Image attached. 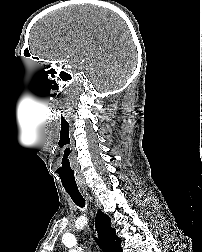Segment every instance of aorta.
I'll use <instances>...</instances> for the list:
<instances>
[{"mask_svg":"<svg viewBox=\"0 0 202 252\" xmlns=\"http://www.w3.org/2000/svg\"><path fill=\"white\" fill-rule=\"evenodd\" d=\"M69 252H79V250L71 249V250H69Z\"/></svg>","mask_w":202,"mask_h":252,"instance_id":"aorta-1","label":"aorta"}]
</instances>
